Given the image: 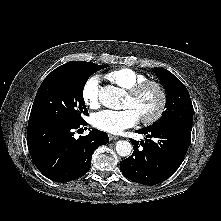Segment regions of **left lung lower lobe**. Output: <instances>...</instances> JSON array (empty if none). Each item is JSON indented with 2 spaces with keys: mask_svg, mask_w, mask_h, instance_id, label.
<instances>
[{
  "mask_svg": "<svg viewBox=\"0 0 221 221\" xmlns=\"http://www.w3.org/2000/svg\"><path fill=\"white\" fill-rule=\"evenodd\" d=\"M144 141L131 140L133 154L120 162L128 179L146 185L159 183L171 176L181 165L191 142V130L177 127L143 128ZM154 138V139H151Z\"/></svg>",
  "mask_w": 221,
  "mask_h": 221,
  "instance_id": "0a47b994",
  "label": "left lung lower lobe"
}]
</instances>
